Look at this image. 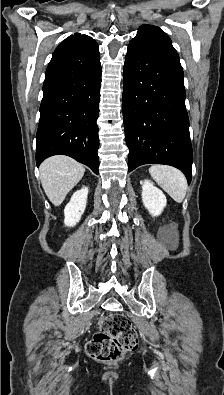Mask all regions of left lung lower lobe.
<instances>
[{
  "mask_svg": "<svg viewBox=\"0 0 224 395\" xmlns=\"http://www.w3.org/2000/svg\"><path fill=\"white\" fill-rule=\"evenodd\" d=\"M179 59L130 43L125 57L123 117L129 172L148 164L192 177V146Z\"/></svg>",
  "mask_w": 224,
  "mask_h": 395,
  "instance_id": "obj_1",
  "label": "left lung lower lobe"
}]
</instances>
